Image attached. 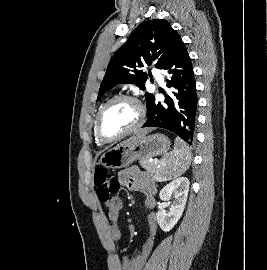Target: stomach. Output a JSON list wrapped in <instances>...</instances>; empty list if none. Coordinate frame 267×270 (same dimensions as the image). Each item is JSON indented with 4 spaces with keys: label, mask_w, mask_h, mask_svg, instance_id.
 <instances>
[{
    "label": "stomach",
    "mask_w": 267,
    "mask_h": 270,
    "mask_svg": "<svg viewBox=\"0 0 267 270\" xmlns=\"http://www.w3.org/2000/svg\"><path fill=\"white\" fill-rule=\"evenodd\" d=\"M170 149L169 139L160 133L145 135L129 144H118L107 150L100 158V164L106 168H123L135 160H148L164 155Z\"/></svg>",
    "instance_id": "obj_1"
}]
</instances>
